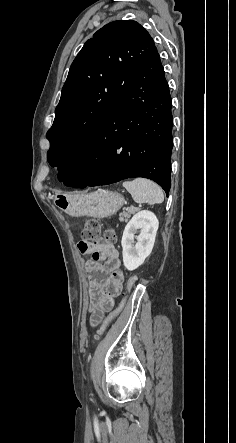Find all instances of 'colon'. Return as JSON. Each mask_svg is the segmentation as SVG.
I'll list each match as a JSON object with an SVG mask.
<instances>
[{"label": "colon", "mask_w": 236, "mask_h": 443, "mask_svg": "<svg viewBox=\"0 0 236 443\" xmlns=\"http://www.w3.org/2000/svg\"><path fill=\"white\" fill-rule=\"evenodd\" d=\"M83 238L92 244L98 243H113L115 241V232L113 229L103 230L101 224L96 219H88L85 223ZM80 249H85V245H80ZM134 279H130L127 285L128 290H130L134 285ZM124 307V301L121 302L118 308L112 311L98 328L95 336V346H98L102 341L107 328L109 325L117 318Z\"/></svg>", "instance_id": "colon-1"}]
</instances>
